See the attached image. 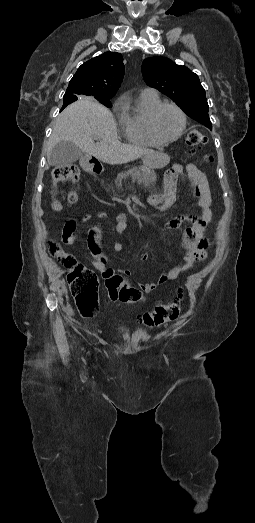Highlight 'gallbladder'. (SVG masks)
<instances>
[{"label": "gallbladder", "instance_id": "obj_1", "mask_svg": "<svg viewBox=\"0 0 255 523\" xmlns=\"http://www.w3.org/2000/svg\"><path fill=\"white\" fill-rule=\"evenodd\" d=\"M79 158H84V152L74 144V142H58L50 152V166L56 168H65V166H72L73 162H77Z\"/></svg>", "mask_w": 255, "mask_h": 523}]
</instances>
